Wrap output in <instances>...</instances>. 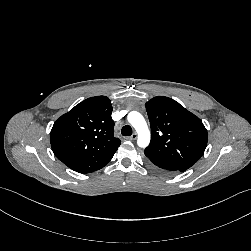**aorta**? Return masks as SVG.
<instances>
[{
    "label": "aorta",
    "instance_id": "762f6f07",
    "mask_svg": "<svg viewBox=\"0 0 251 251\" xmlns=\"http://www.w3.org/2000/svg\"><path fill=\"white\" fill-rule=\"evenodd\" d=\"M127 118L138 134V146L141 148L147 147L150 142V131L144 117L139 112L132 111Z\"/></svg>",
    "mask_w": 251,
    "mask_h": 251
}]
</instances>
